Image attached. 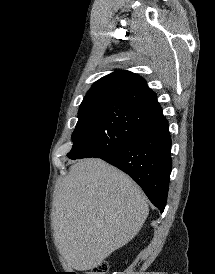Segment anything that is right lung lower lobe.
I'll return each mask as SVG.
<instances>
[{
  "label": "right lung lower lobe",
  "mask_w": 215,
  "mask_h": 274,
  "mask_svg": "<svg viewBox=\"0 0 215 274\" xmlns=\"http://www.w3.org/2000/svg\"><path fill=\"white\" fill-rule=\"evenodd\" d=\"M170 150L168 122L160 115L127 144L101 159L127 173L163 212L172 168Z\"/></svg>",
  "instance_id": "obj_1"
}]
</instances>
